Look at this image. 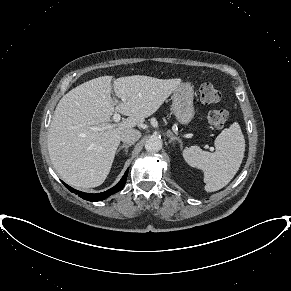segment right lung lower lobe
Returning <instances> with one entry per match:
<instances>
[{
  "label": "right lung lower lobe",
  "instance_id": "right-lung-lower-lobe-1",
  "mask_svg": "<svg viewBox=\"0 0 291 291\" xmlns=\"http://www.w3.org/2000/svg\"><path fill=\"white\" fill-rule=\"evenodd\" d=\"M127 175H128V169L125 172V174L123 175V177L121 178V180L119 181V183L116 184L113 188H111V189H109L107 191H104V192H101V193H95V194H93V193H84V192H81V191H77V190L73 189L72 187L68 186L65 183H64V185L71 192L76 193L78 196L82 197L83 199L94 202V201L104 200V199L108 198L109 196H111V195L119 192L120 190H122V188L125 186Z\"/></svg>",
  "mask_w": 291,
  "mask_h": 291
}]
</instances>
